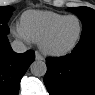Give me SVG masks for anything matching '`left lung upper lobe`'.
I'll list each match as a JSON object with an SVG mask.
<instances>
[{"label": "left lung upper lobe", "mask_w": 95, "mask_h": 95, "mask_svg": "<svg viewBox=\"0 0 95 95\" xmlns=\"http://www.w3.org/2000/svg\"><path fill=\"white\" fill-rule=\"evenodd\" d=\"M69 10L82 20V35L80 39L95 34V10L88 7L69 8Z\"/></svg>", "instance_id": "5c2ea615"}]
</instances>
